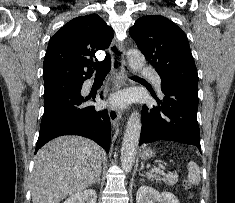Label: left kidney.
<instances>
[{
	"label": "left kidney",
	"mask_w": 235,
	"mask_h": 203,
	"mask_svg": "<svg viewBox=\"0 0 235 203\" xmlns=\"http://www.w3.org/2000/svg\"><path fill=\"white\" fill-rule=\"evenodd\" d=\"M179 203V200L174 194L168 191L159 192L158 190L149 187L141 186L136 194L137 203Z\"/></svg>",
	"instance_id": "obj_1"
}]
</instances>
